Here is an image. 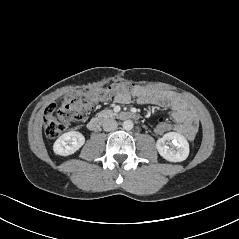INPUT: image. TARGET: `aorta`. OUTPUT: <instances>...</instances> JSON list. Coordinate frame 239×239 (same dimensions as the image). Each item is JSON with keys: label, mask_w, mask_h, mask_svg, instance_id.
Returning <instances> with one entry per match:
<instances>
[{"label": "aorta", "mask_w": 239, "mask_h": 239, "mask_svg": "<svg viewBox=\"0 0 239 239\" xmlns=\"http://www.w3.org/2000/svg\"><path fill=\"white\" fill-rule=\"evenodd\" d=\"M133 126H134V124L131 120H126L122 124L123 129L127 130V131L132 130Z\"/></svg>", "instance_id": "762f6f07"}]
</instances>
